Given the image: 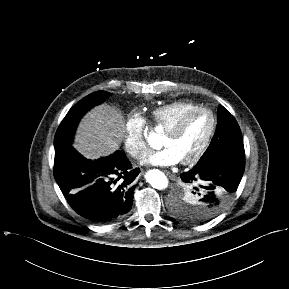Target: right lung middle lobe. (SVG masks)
Returning a JSON list of instances; mask_svg holds the SVG:
<instances>
[{"label":"right lung middle lobe","instance_id":"obj_1","mask_svg":"<svg viewBox=\"0 0 289 289\" xmlns=\"http://www.w3.org/2000/svg\"><path fill=\"white\" fill-rule=\"evenodd\" d=\"M109 95L110 94L105 91L91 93L69 110L56 132L54 138L55 152L72 142L75 128L82 115L93 106L102 103Z\"/></svg>","mask_w":289,"mask_h":289}]
</instances>
